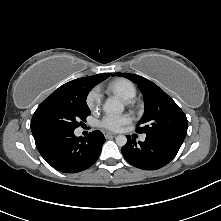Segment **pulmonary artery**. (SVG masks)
<instances>
[{
	"label": "pulmonary artery",
	"instance_id": "e3ab8cb5",
	"mask_svg": "<svg viewBox=\"0 0 221 221\" xmlns=\"http://www.w3.org/2000/svg\"><path fill=\"white\" fill-rule=\"evenodd\" d=\"M145 139H146L145 135L141 136V138H140L141 141H145Z\"/></svg>",
	"mask_w": 221,
	"mask_h": 221
}]
</instances>
